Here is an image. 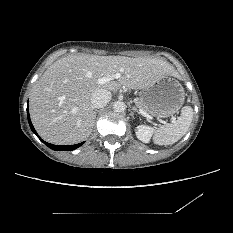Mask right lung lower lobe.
<instances>
[{
	"mask_svg": "<svg viewBox=\"0 0 233 233\" xmlns=\"http://www.w3.org/2000/svg\"><path fill=\"white\" fill-rule=\"evenodd\" d=\"M27 117H28V122H29V125H30V128L31 130L33 131V133L44 143L46 144L49 148H51L52 150H55V151H60V150H65V151H72V150H75L76 148L80 147L84 142L82 143H79V144H75V145H69V146H61V145H53V144H50V143H47L45 141H43L39 135L37 134V132L35 131L32 123H31V120H30V115H29V110H27Z\"/></svg>",
	"mask_w": 233,
	"mask_h": 233,
	"instance_id": "obj_1",
	"label": "right lung lower lobe"
}]
</instances>
